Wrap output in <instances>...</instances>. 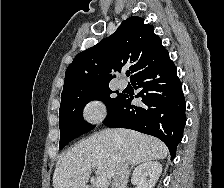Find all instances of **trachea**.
Instances as JSON below:
<instances>
[{"label": "trachea", "instance_id": "1", "mask_svg": "<svg viewBox=\"0 0 224 188\" xmlns=\"http://www.w3.org/2000/svg\"><path fill=\"white\" fill-rule=\"evenodd\" d=\"M126 75L129 76L130 75V72H126Z\"/></svg>", "mask_w": 224, "mask_h": 188}]
</instances>
